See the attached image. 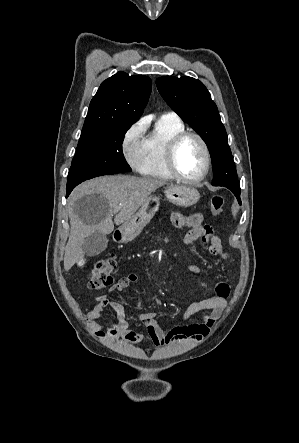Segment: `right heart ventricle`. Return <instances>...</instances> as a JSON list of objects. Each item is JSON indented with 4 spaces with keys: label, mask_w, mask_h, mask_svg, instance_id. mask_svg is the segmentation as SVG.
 Wrapping results in <instances>:
<instances>
[{
    "label": "right heart ventricle",
    "mask_w": 299,
    "mask_h": 443,
    "mask_svg": "<svg viewBox=\"0 0 299 443\" xmlns=\"http://www.w3.org/2000/svg\"><path fill=\"white\" fill-rule=\"evenodd\" d=\"M185 131V125L177 116H161L153 132L144 141V155L140 167L142 175L157 179H171L165 153L171 139Z\"/></svg>",
    "instance_id": "right-heart-ventricle-1"
}]
</instances>
